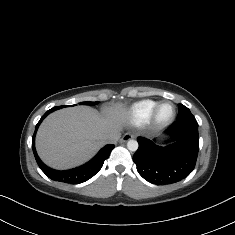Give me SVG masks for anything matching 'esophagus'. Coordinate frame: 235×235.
Returning <instances> with one entry per match:
<instances>
[{"instance_id": "esophagus-1", "label": "esophagus", "mask_w": 235, "mask_h": 235, "mask_svg": "<svg viewBox=\"0 0 235 235\" xmlns=\"http://www.w3.org/2000/svg\"><path fill=\"white\" fill-rule=\"evenodd\" d=\"M135 137L134 134L132 133H125L122 138L120 139V143H124V142H127L129 141L130 139H133Z\"/></svg>"}]
</instances>
